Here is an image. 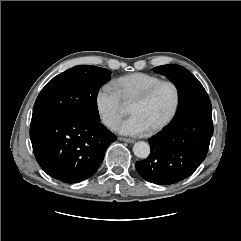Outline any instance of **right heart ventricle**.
Instances as JSON below:
<instances>
[{
  "mask_svg": "<svg viewBox=\"0 0 241 241\" xmlns=\"http://www.w3.org/2000/svg\"><path fill=\"white\" fill-rule=\"evenodd\" d=\"M162 79L149 73H132L119 77L112 85L122 103L129 104L137 96Z\"/></svg>",
  "mask_w": 241,
  "mask_h": 241,
  "instance_id": "e07e8e85",
  "label": "right heart ventricle"
}]
</instances>
